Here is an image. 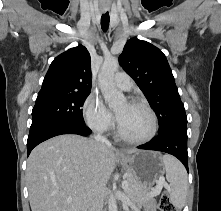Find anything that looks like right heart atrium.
<instances>
[{"label": "right heart atrium", "mask_w": 221, "mask_h": 211, "mask_svg": "<svg viewBox=\"0 0 221 211\" xmlns=\"http://www.w3.org/2000/svg\"><path fill=\"white\" fill-rule=\"evenodd\" d=\"M83 115L86 124L98 133H107L114 126L111 112L95 93L87 96L83 104Z\"/></svg>", "instance_id": "obj_1"}]
</instances>
